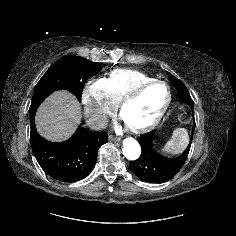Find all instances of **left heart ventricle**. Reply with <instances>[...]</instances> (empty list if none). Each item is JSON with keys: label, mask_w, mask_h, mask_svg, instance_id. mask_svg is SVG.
<instances>
[{"label": "left heart ventricle", "mask_w": 236, "mask_h": 236, "mask_svg": "<svg viewBox=\"0 0 236 236\" xmlns=\"http://www.w3.org/2000/svg\"><path fill=\"white\" fill-rule=\"evenodd\" d=\"M168 98L167 88L162 84L148 87L143 93L127 105L122 114L123 120L134 126H141L152 121Z\"/></svg>", "instance_id": "obj_1"}]
</instances>
